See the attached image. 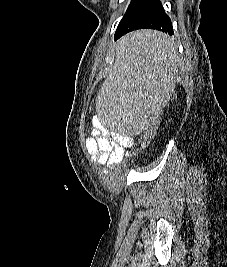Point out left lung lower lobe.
<instances>
[{"instance_id": "obj_1", "label": "left lung lower lobe", "mask_w": 227, "mask_h": 267, "mask_svg": "<svg viewBox=\"0 0 227 267\" xmlns=\"http://www.w3.org/2000/svg\"><path fill=\"white\" fill-rule=\"evenodd\" d=\"M137 29H155L173 35V27L169 16L165 13L160 0H131V3L121 19L115 40ZM149 44L138 40L134 47L143 49Z\"/></svg>"}]
</instances>
